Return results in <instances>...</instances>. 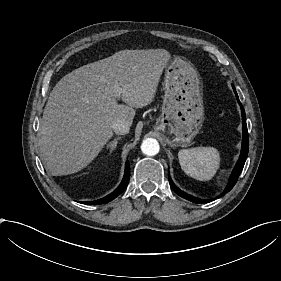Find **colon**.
<instances>
[{
    "mask_svg": "<svg viewBox=\"0 0 281 281\" xmlns=\"http://www.w3.org/2000/svg\"><path fill=\"white\" fill-rule=\"evenodd\" d=\"M229 116L228 114V111L226 109H219L217 112H216V117L219 119V120H225L227 119Z\"/></svg>",
    "mask_w": 281,
    "mask_h": 281,
    "instance_id": "obj_1",
    "label": "colon"
}]
</instances>
